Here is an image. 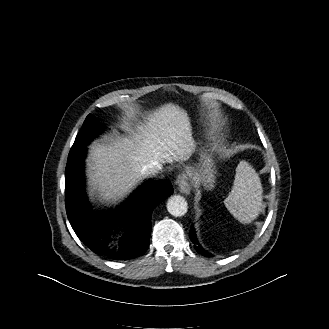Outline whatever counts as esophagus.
Masks as SVG:
<instances>
[{
	"label": "esophagus",
	"mask_w": 329,
	"mask_h": 329,
	"mask_svg": "<svg viewBox=\"0 0 329 329\" xmlns=\"http://www.w3.org/2000/svg\"><path fill=\"white\" fill-rule=\"evenodd\" d=\"M176 183L178 184V189L181 193H190L191 187L189 179L185 173H181L180 175H178Z\"/></svg>",
	"instance_id": "1"
}]
</instances>
